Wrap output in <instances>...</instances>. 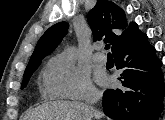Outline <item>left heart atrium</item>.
<instances>
[{"mask_svg": "<svg viewBox=\"0 0 165 120\" xmlns=\"http://www.w3.org/2000/svg\"><path fill=\"white\" fill-rule=\"evenodd\" d=\"M98 81H99L101 84L105 85V84L108 83V78H107L106 76H104V75H99V76H98Z\"/></svg>", "mask_w": 165, "mask_h": 120, "instance_id": "1", "label": "left heart atrium"}]
</instances>
